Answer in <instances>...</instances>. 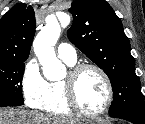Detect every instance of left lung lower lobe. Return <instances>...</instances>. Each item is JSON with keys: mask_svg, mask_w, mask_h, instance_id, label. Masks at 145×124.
<instances>
[{"mask_svg": "<svg viewBox=\"0 0 145 124\" xmlns=\"http://www.w3.org/2000/svg\"><path fill=\"white\" fill-rule=\"evenodd\" d=\"M116 118H121V119L127 120L133 124H145V119H140V118H136V117L116 116Z\"/></svg>", "mask_w": 145, "mask_h": 124, "instance_id": "obj_1", "label": "left lung lower lobe"}]
</instances>
